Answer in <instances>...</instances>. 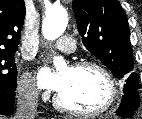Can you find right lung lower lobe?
<instances>
[{"mask_svg":"<svg viewBox=\"0 0 142 119\" xmlns=\"http://www.w3.org/2000/svg\"><path fill=\"white\" fill-rule=\"evenodd\" d=\"M15 92L0 91V114L11 115L13 113Z\"/></svg>","mask_w":142,"mask_h":119,"instance_id":"98d812e1","label":"right lung lower lobe"}]
</instances>
